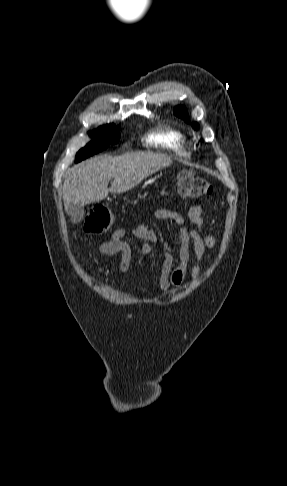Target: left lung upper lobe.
Masks as SVG:
<instances>
[{"instance_id":"5c2ea615","label":"left lung upper lobe","mask_w":287,"mask_h":486,"mask_svg":"<svg viewBox=\"0 0 287 486\" xmlns=\"http://www.w3.org/2000/svg\"><path fill=\"white\" fill-rule=\"evenodd\" d=\"M174 113H175L176 116L184 119V121L189 122V118L187 116V111H186L185 107L177 106L174 110ZM194 127L197 128L198 125L196 123H194Z\"/></svg>"}]
</instances>
